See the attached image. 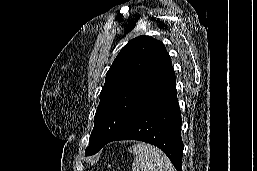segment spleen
I'll return each mask as SVG.
<instances>
[{"mask_svg":"<svg viewBox=\"0 0 257 171\" xmlns=\"http://www.w3.org/2000/svg\"><path fill=\"white\" fill-rule=\"evenodd\" d=\"M129 151L136 155L132 171H175L168 157L150 144L137 143Z\"/></svg>","mask_w":257,"mask_h":171,"instance_id":"1","label":"spleen"}]
</instances>
